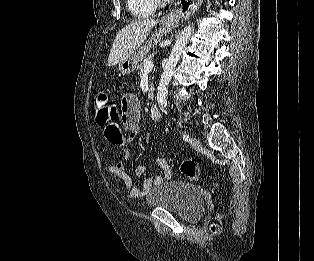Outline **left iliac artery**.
I'll use <instances>...</instances> for the list:
<instances>
[{"label":"left iliac artery","instance_id":"obj_1","mask_svg":"<svg viewBox=\"0 0 314 261\" xmlns=\"http://www.w3.org/2000/svg\"><path fill=\"white\" fill-rule=\"evenodd\" d=\"M183 140H185V141H189V135L184 134V135H183Z\"/></svg>","mask_w":314,"mask_h":261}]
</instances>
